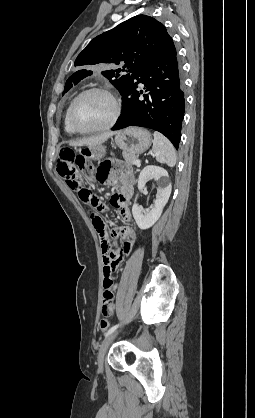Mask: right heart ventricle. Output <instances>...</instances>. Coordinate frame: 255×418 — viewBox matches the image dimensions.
<instances>
[{
    "instance_id": "right-heart-ventricle-1",
    "label": "right heart ventricle",
    "mask_w": 255,
    "mask_h": 418,
    "mask_svg": "<svg viewBox=\"0 0 255 418\" xmlns=\"http://www.w3.org/2000/svg\"><path fill=\"white\" fill-rule=\"evenodd\" d=\"M72 101H73V99L70 101V103L68 104V106H67V108H66V110H65V113H64V128H65V131L67 132V133H69V134H75L76 132L69 126V124H68V120H67V115H68V110H69V107H70V105H71V103H72Z\"/></svg>"
}]
</instances>
